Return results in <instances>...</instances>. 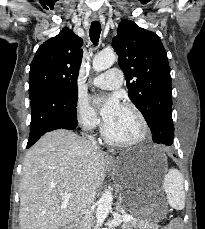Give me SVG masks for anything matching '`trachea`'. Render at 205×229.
Returning a JSON list of instances; mask_svg holds the SVG:
<instances>
[{
  "mask_svg": "<svg viewBox=\"0 0 205 229\" xmlns=\"http://www.w3.org/2000/svg\"><path fill=\"white\" fill-rule=\"evenodd\" d=\"M100 33H101V25L98 21H93L90 26V39L93 42L94 45H97L99 42L100 38Z\"/></svg>",
  "mask_w": 205,
  "mask_h": 229,
  "instance_id": "obj_1",
  "label": "trachea"
}]
</instances>
